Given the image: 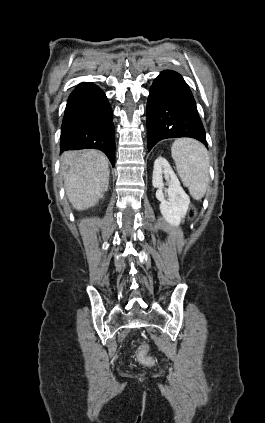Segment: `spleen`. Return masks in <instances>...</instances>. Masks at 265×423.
I'll return each instance as SVG.
<instances>
[{"label":"spleen","mask_w":265,"mask_h":423,"mask_svg":"<svg viewBox=\"0 0 265 423\" xmlns=\"http://www.w3.org/2000/svg\"><path fill=\"white\" fill-rule=\"evenodd\" d=\"M178 175L191 196L200 200L209 183V158L207 150L194 139H177L171 147Z\"/></svg>","instance_id":"obj_1"}]
</instances>
